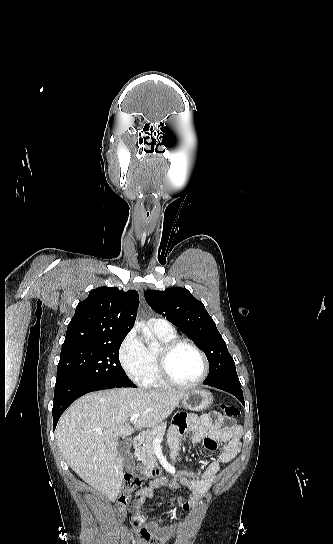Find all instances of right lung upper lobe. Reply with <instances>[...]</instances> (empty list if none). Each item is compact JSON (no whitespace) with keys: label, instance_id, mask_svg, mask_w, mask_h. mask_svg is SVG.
<instances>
[{"label":"right lung upper lobe","instance_id":"right-lung-upper-lobe-1","mask_svg":"<svg viewBox=\"0 0 333 544\" xmlns=\"http://www.w3.org/2000/svg\"><path fill=\"white\" fill-rule=\"evenodd\" d=\"M139 296L117 287H99L81 301L71 319L63 348L110 342L125 337L134 325Z\"/></svg>","mask_w":333,"mask_h":544}]
</instances>
